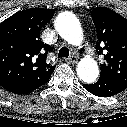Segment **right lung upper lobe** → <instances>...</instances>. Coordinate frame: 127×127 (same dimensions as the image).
Returning <instances> with one entry per match:
<instances>
[{"label":"right lung upper lobe","mask_w":127,"mask_h":127,"mask_svg":"<svg viewBox=\"0 0 127 127\" xmlns=\"http://www.w3.org/2000/svg\"><path fill=\"white\" fill-rule=\"evenodd\" d=\"M55 10L31 8L19 11L0 24V85L8 82H40L55 69L47 63L51 50L40 40V31Z\"/></svg>","instance_id":"obj_1"}]
</instances>
